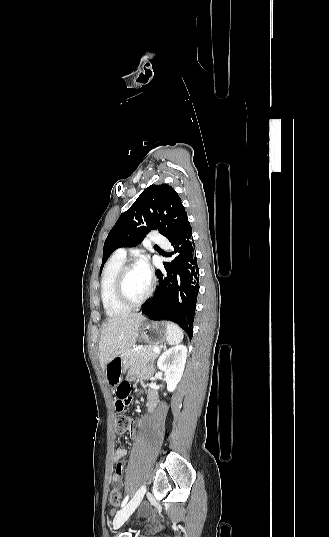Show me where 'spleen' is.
Instances as JSON below:
<instances>
[{"mask_svg": "<svg viewBox=\"0 0 329 537\" xmlns=\"http://www.w3.org/2000/svg\"><path fill=\"white\" fill-rule=\"evenodd\" d=\"M184 337L183 330L175 323H168L167 342L169 345H176L182 342Z\"/></svg>", "mask_w": 329, "mask_h": 537, "instance_id": "3e777b00", "label": "spleen"}]
</instances>
